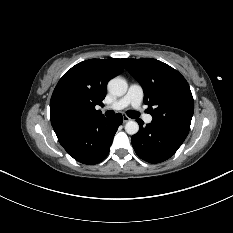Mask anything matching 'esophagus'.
<instances>
[{
	"instance_id": "1",
	"label": "esophagus",
	"mask_w": 233,
	"mask_h": 233,
	"mask_svg": "<svg viewBox=\"0 0 233 233\" xmlns=\"http://www.w3.org/2000/svg\"><path fill=\"white\" fill-rule=\"evenodd\" d=\"M123 122L124 123H126V122H128V121H130L131 119L128 117V116H126V115H123Z\"/></svg>"
}]
</instances>
